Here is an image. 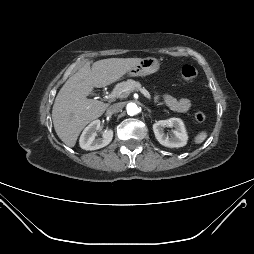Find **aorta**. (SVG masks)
I'll return each instance as SVG.
<instances>
[{
	"instance_id": "aorta-1",
	"label": "aorta",
	"mask_w": 254,
	"mask_h": 254,
	"mask_svg": "<svg viewBox=\"0 0 254 254\" xmlns=\"http://www.w3.org/2000/svg\"><path fill=\"white\" fill-rule=\"evenodd\" d=\"M126 110L129 115H135L138 113V107L135 103L127 104Z\"/></svg>"
}]
</instances>
